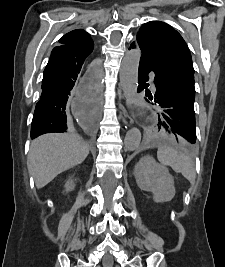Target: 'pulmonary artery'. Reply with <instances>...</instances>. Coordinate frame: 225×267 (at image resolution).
I'll list each match as a JSON object with an SVG mask.
<instances>
[{
	"label": "pulmonary artery",
	"mask_w": 225,
	"mask_h": 267,
	"mask_svg": "<svg viewBox=\"0 0 225 267\" xmlns=\"http://www.w3.org/2000/svg\"><path fill=\"white\" fill-rule=\"evenodd\" d=\"M153 76H154V74H153V73H150L151 81H153ZM152 89L155 90V86H154V84H152Z\"/></svg>",
	"instance_id": "pulmonary-artery-1"
}]
</instances>
